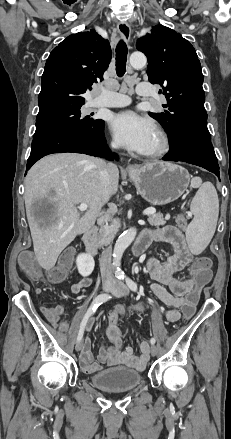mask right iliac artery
I'll return each mask as SVG.
<instances>
[{
  "mask_svg": "<svg viewBox=\"0 0 231 439\" xmlns=\"http://www.w3.org/2000/svg\"><path fill=\"white\" fill-rule=\"evenodd\" d=\"M111 299V296L109 294H100L97 297L94 298L91 306L89 307V309L87 310V312L85 313L83 320L81 322L80 325V329H79V333L77 336V342L80 341L83 337V333H84V329L85 326L90 318V316L95 312V310L104 302H106L107 300Z\"/></svg>",
  "mask_w": 231,
  "mask_h": 439,
  "instance_id": "82829eb1",
  "label": "right iliac artery"
}]
</instances>
